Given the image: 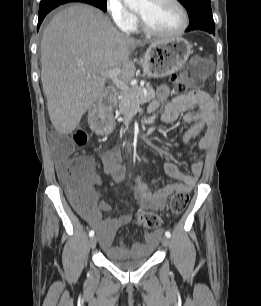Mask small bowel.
<instances>
[{"instance_id": "small-bowel-1", "label": "small bowel", "mask_w": 261, "mask_h": 306, "mask_svg": "<svg viewBox=\"0 0 261 306\" xmlns=\"http://www.w3.org/2000/svg\"><path fill=\"white\" fill-rule=\"evenodd\" d=\"M170 94L167 86H161L157 92V99L148 107V113L156 111L160 105L166 102ZM198 110H193L194 107ZM184 113V121L189 125L184 133L183 142L197 137L202 132L198 149L200 153H205L212 141L214 115L213 102L203 91L189 93L175 97L165 105L161 121L170 124L177 120ZM89 169L87 186L90 195L85 199L81 207L83 218L96 230L99 243L107 254L118 255L124 251L134 252L155 247L161 237L160 232L146 234V244L135 243L130 247L113 246V239L116 231L127 224L130 220L129 215L105 217L104 213L111 210V205L105 200H98L95 187L100 185L101 177L96 172L95 161L91 157H81ZM122 152L119 147L107 150L102 156V164L105 172L116 182H121L126 174V169L122 164ZM65 161L57 157L56 164L59 169ZM168 177L177 180L175 183H165L153 188L149 183L142 180L139 176L135 178L132 188L136 198L137 206L141 210H163L166 207L169 196L177 191H190L198 181L203 169V157L197 158L191 165L189 174L183 173L175 164L166 163L164 166Z\"/></svg>"}]
</instances>
